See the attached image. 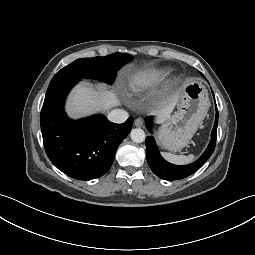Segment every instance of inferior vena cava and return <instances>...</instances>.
<instances>
[{"instance_id": "1", "label": "inferior vena cava", "mask_w": 255, "mask_h": 255, "mask_svg": "<svg viewBox=\"0 0 255 255\" xmlns=\"http://www.w3.org/2000/svg\"><path fill=\"white\" fill-rule=\"evenodd\" d=\"M129 115L125 110L115 109L108 114L109 121L113 123H123L128 119Z\"/></svg>"}]
</instances>
